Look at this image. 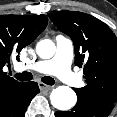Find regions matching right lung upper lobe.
Wrapping results in <instances>:
<instances>
[{"instance_id": "cb5924a9", "label": "right lung upper lobe", "mask_w": 117, "mask_h": 117, "mask_svg": "<svg viewBox=\"0 0 117 117\" xmlns=\"http://www.w3.org/2000/svg\"><path fill=\"white\" fill-rule=\"evenodd\" d=\"M47 23V16L42 14L0 15V103L23 84L3 72V67L10 66L12 55L32 43L44 31Z\"/></svg>"}]
</instances>
